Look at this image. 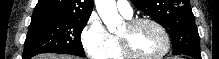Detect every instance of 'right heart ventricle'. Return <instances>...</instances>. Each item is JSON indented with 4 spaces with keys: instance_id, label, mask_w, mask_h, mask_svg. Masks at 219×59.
<instances>
[{
    "instance_id": "1",
    "label": "right heart ventricle",
    "mask_w": 219,
    "mask_h": 59,
    "mask_svg": "<svg viewBox=\"0 0 219 59\" xmlns=\"http://www.w3.org/2000/svg\"><path fill=\"white\" fill-rule=\"evenodd\" d=\"M109 59H125L122 55L118 41L115 39V45L108 57Z\"/></svg>"
}]
</instances>
